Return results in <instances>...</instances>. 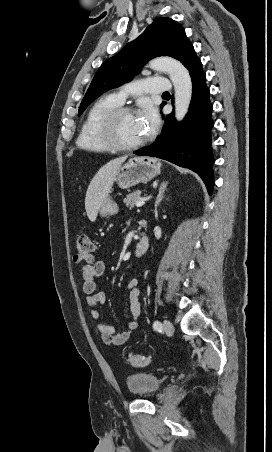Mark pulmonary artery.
Instances as JSON below:
<instances>
[{
	"mask_svg": "<svg viewBox=\"0 0 272 452\" xmlns=\"http://www.w3.org/2000/svg\"><path fill=\"white\" fill-rule=\"evenodd\" d=\"M171 83L166 78L149 77L143 81H137L117 89L112 95L119 102L123 103L128 94H161L171 90Z\"/></svg>",
	"mask_w": 272,
	"mask_h": 452,
	"instance_id": "1",
	"label": "pulmonary artery"
}]
</instances>
